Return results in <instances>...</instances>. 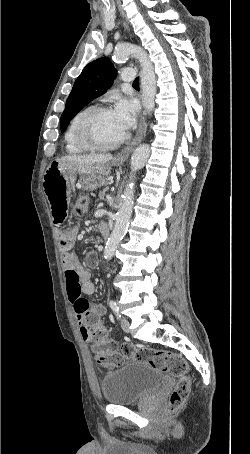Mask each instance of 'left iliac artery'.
Wrapping results in <instances>:
<instances>
[{
    "mask_svg": "<svg viewBox=\"0 0 250 454\" xmlns=\"http://www.w3.org/2000/svg\"><path fill=\"white\" fill-rule=\"evenodd\" d=\"M109 305H110L112 311L114 312V314L116 315L117 319H120L121 314L119 313V307H118L117 303L115 301L111 300L109 302Z\"/></svg>",
    "mask_w": 250,
    "mask_h": 454,
    "instance_id": "obj_1",
    "label": "left iliac artery"
}]
</instances>
